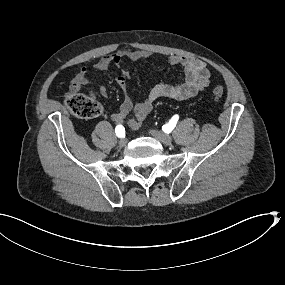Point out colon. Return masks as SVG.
Masks as SVG:
<instances>
[{
  "mask_svg": "<svg viewBox=\"0 0 285 285\" xmlns=\"http://www.w3.org/2000/svg\"><path fill=\"white\" fill-rule=\"evenodd\" d=\"M212 94L218 100L223 97L224 90L222 87H215ZM64 103L73 115L81 119H93L102 113V107L98 101L79 93L67 95Z\"/></svg>",
  "mask_w": 285,
  "mask_h": 285,
  "instance_id": "5ec220e1",
  "label": "colon"
}]
</instances>
